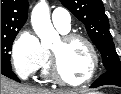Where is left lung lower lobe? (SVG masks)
Listing matches in <instances>:
<instances>
[{
  "label": "left lung lower lobe",
  "mask_w": 121,
  "mask_h": 94,
  "mask_svg": "<svg viewBox=\"0 0 121 94\" xmlns=\"http://www.w3.org/2000/svg\"><path fill=\"white\" fill-rule=\"evenodd\" d=\"M108 84L121 87V71L113 70L105 72L91 85V88Z\"/></svg>",
  "instance_id": "obj_1"
}]
</instances>
